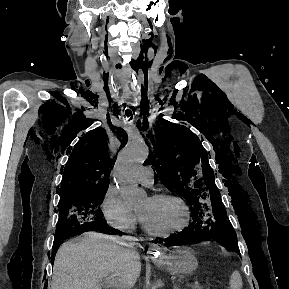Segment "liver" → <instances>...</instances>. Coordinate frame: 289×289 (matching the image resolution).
<instances>
[{
  "mask_svg": "<svg viewBox=\"0 0 289 289\" xmlns=\"http://www.w3.org/2000/svg\"><path fill=\"white\" fill-rule=\"evenodd\" d=\"M140 257L101 233H85L80 242H65L56 253L51 289H102V281L117 279L124 289L139 277Z\"/></svg>",
  "mask_w": 289,
  "mask_h": 289,
  "instance_id": "obj_1",
  "label": "liver"
}]
</instances>
